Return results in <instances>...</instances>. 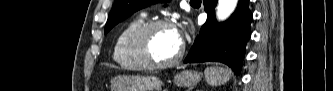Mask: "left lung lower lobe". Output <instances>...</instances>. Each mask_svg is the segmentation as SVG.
I'll return each mask as SVG.
<instances>
[{
  "instance_id": "left-lung-lower-lobe-1",
  "label": "left lung lower lobe",
  "mask_w": 333,
  "mask_h": 91,
  "mask_svg": "<svg viewBox=\"0 0 333 91\" xmlns=\"http://www.w3.org/2000/svg\"><path fill=\"white\" fill-rule=\"evenodd\" d=\"M249 0H240L235 12L223 23L214 16L217 0H204L207 21L202 26L184 63L206 61L223 62L239 74L245 54V46L250 39V24L253 15L248 7Z\"/></svg>"
}]
</instances>
